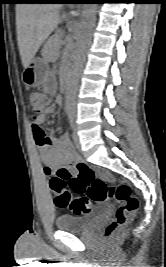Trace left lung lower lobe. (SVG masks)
I'll list each match as a JSON object with an SVG mask.
<instances>
[{
    "label": "left lung lower lobe",
    "mask_w": 166,
    "mask_h": 267,
    "mask_svg": "<svg viewBox=\"0 0 166 267\" xmlns=\"http://www.w3.org/2000/svg\"><path fill=\"white\" fill-rule=\"evenodd\" d=\"M52 3H66L63 0H54Z\"/></svg>",
    "instance_id": "left-lung-lower-lobe-1"
}]
</instances>
